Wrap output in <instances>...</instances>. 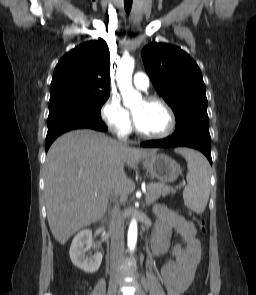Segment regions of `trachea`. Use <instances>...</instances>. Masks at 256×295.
<instances>
[{
  "label": "trachea",
  "mask_w": 256,
  "mask_h": 295,
  "mask_svg": "<svg viewBox=\"0 0 256 295\" xmlns=\"http://www.w3.org/2000/svg\"><path fill=\"white\" fill-rule=\"evenodd\" d=\"M132 7V0H124V8L127 13L130 12Z\"/></svg>",
  "instance_id": "1"
}]
</instances>
